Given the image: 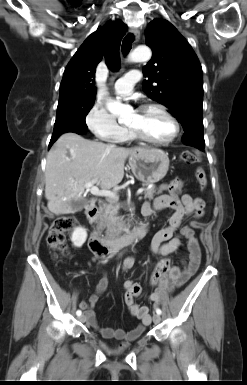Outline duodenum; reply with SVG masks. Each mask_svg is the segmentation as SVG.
Listing matches in <instances>:
<instances>
[{"label":"duodenum","mask_w":247,"mask_h":385,"mask_svg":"<svg viewBox=\"0 0 247 385\" xmlns=\"http://www.w3.org/2000/svg\"><path fill=\"white\" fill-rule=\"evenodd\" d=\"M86 217L89 223L95 224L98 217V209L90 207L86 210ZM149 230L147 222L142 223L133 231L116 236L111 240H104L97 232H94L88 241L89 248L97 256L109 258L116 254L124 246L132 244L146 235Z\"/></svg>","instance_id":"1"}]
</instances>
